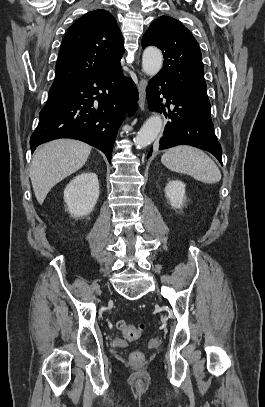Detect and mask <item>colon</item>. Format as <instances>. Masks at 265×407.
<instances>
[{"mask_svg": "<svg viewBox=\"0 0 265 407\" xmlns=\"http://www.w3.org/2000/svg\"><path fill=\"white\" fill-rule=\"evenodd\" d=\"M117 327L121 331L123 336L130 341L140 339L145 331L144 323L131 325L128 324L125 320H119L117 323ZM130 360L133 362L140 363L144 360V355L140 351H134L130 354Z\"/></svg>", "mask_w": 265, "mask_h": 407, "instance_id": "obj_1", "label": "colon"}]
</instances>
